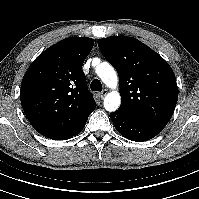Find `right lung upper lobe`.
Listing matches in <instances>:
<instances>
[{
  "instance_id": "right-lung-upper-lobe-1",
  "label": "right lung upper lobe",
  "mask_w": 199,
  "mask_h": 199,
  "mask_svg": "<svg viewBox=\"0 0 199 199\" xmlns=\"http://www.w3.org/2000/svg\"><path fill=\"white\" fill-rule=\"evenodd\" d=\"M91 38L64 39L42 52L21 83V104L31 125L54 140L77 135L96 107L82 70Z\"/></svg>"
}]
</instances>
